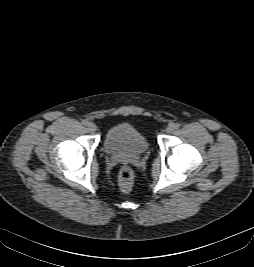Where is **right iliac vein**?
<instances>
[{
    "instance_id": "63e3f726",
    "label": "right iliac vein",
    "mask_w": 254,
    "mask_h": 267,
    "mask_svg": "<svg viewBox=\"0 0 254 267\" xmlns=\"http://www.w3.org/2000/svg\"><path fill=\"white\" fill-rule=\"evenodd\" d=\"M87 129L90 131V132H94V131H96V125L94 124V123H92V122H88L87 123Z\"/></svg>"
}]
</instances>
